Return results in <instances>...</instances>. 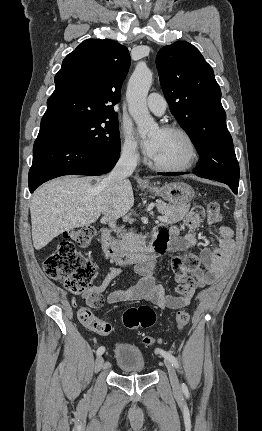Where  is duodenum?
<instances>
[{"label": "duodenum", "instance_id": "410a0bca", "mask_svg": "<svg viewBox=\"0 0 262 431\" xmlns=\"http://www.w3.org/2000/svg\"><path fill=\"white\" fill-rule=\"evenodd\" d=\"M101 242L105 255L114 259L120 265L142 264L153 258L163 246L159 237H156L154 244L141 253H132L123 250L117 240L111 235L107 227L101 230Z\"/></svg>", "mask_w": 262, "mask_h": 431}]
</instances>
